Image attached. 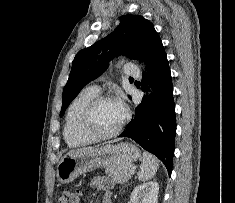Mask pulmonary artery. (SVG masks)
<instances>
[{"mask_svg": "<svg viewBox=\"0 0 235 203\" xmlns=\"http://www.w3.org/2000/svg\"><path fill=\"white\" fill-rule=\"evenodd\" d=\"M125 72H126V74L131 75V76H138L139 75V71L133 65H129V64L126 65ZM93 87L98 90L97 86H93Z\"/></svg>", "mask_w": 235, "mask_h": 203, "instance_id": "pulmonary-artery-1", "label": "pulmonary artery"}]
</instances>
